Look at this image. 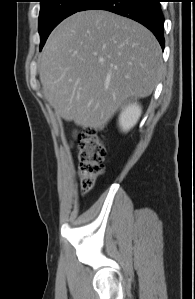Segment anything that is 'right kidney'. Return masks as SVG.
<instances>
[{
    "instance_id": "obj_1",
    "label": "right kidney",
    "mask_w": 195,
    "mask_h": 299,
    "mask_svg": "<svg viewBox=\"0 0 195 299\" xmlns=\"http://www.w3.org/2000/svg\"><path fill=\"white\" fill-rule=\"evenodd\" d=\"M142 113L141 106L137 102L126 105L119 115V126L123 132H128L139 120Z\"/></svg>"
}]
</instances>
